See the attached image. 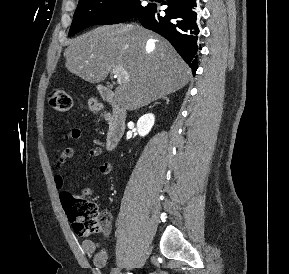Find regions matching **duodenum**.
Masks as SVG:
<instances>
[{
  "label": "duodenum",
  "instance_id": "1",
  "mask_svg": "<svg viewBox=\"0 0 289 274\" xmlns=\"http://www.w3.org/2000/svg\"><path fill=\"white\" fill-rule=\"evenodd\" d=\"M102 98L111 106V118L106 135L105 146L114 150L124 135L126 127V111L117 101L114 94L105 87L100 88Z\"/></svg>",
  "mask_w": 289,
  "mask_h": 274
}]
</instances>
